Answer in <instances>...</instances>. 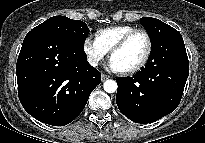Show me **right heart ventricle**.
<instances>
[{
    "label": "right heart ventricle",
    "instance_id": "obj_1",
    "mask_svg": "<svg viewBox=\"0 0 205 143\" xmlns=\"http://www.w3.org/2000/svg\"><path fill=\"white\" fill-rule=\"evenodd\" d=\"M135 29L130 25H118L101 29L96 33V40L109 52L112 47L128 32Z\"/></svg>",
    "mask_w": 205,
    "mask_h": 143
}]
</instances>
